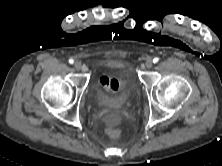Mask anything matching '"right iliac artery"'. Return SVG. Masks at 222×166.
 Masks as SVG:
<instances>
[{"instance_id":"1","label":"right iliac artery","mask_w":222,"mask_h":166,"mask_svg":"<svg viewBox=\"0 0 222 166\" xmlns=\"http://www.w3.org/2000/svg\"><path fill=\"white\" fill-rule=\"evenodd\" d=\"M69 63H70V64H73V63H74V60H73V59H69Z\"/></svg>"}]
</instances>
